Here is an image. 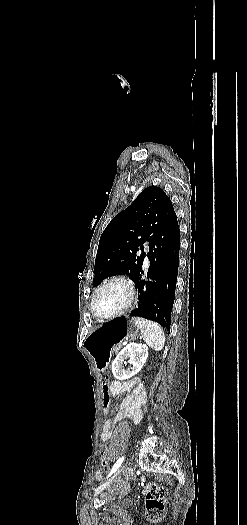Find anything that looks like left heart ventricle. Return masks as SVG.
Masks as SVG:
<instances>
[{
    "instance_id": "1",
    "label": "left heart ventricle",
    "mask_w": 247,
    "mask_h": 525,
    "mask_svg": "<svg viewBox=\"0 0 247 525\" xmlns=\"http://www.w3.org/2000/svg\"><path fill=\"white\" fill-rule=\"evenodd\" d=\"M128 298V289L119 283L105 285L97 294L95 308L106 313L119 308Z\"/></svg>"
}]
</instances>
